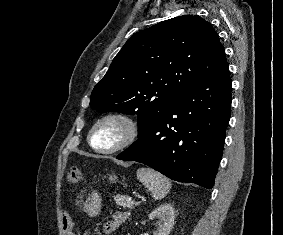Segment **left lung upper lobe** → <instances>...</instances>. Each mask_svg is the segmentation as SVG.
I'll return each instance as SVG.
<instances>
[{"instance_id":"5c2ea615","label":"left lung upper lobe","mask_w":283,"mask_h":235,"mask_svg":"<svg viewBox=\"0 0 283 235\" xmlns=\"http://www.w3.org/2000/svg\"><path fill=\"white\" fill-rule=\"evenodd\" d=\"M226 62L209 22L192 15L165 20L126 42L94 87L90 106L100 113L137 114L140 137L186 88Z\"/></svg>"}]
</instances>
